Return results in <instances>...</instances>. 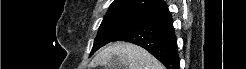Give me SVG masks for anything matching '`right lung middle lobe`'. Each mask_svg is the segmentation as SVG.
Masks as SVG:
<instances>
[{
  "instance_id": "dd1d6c3e",
  "label": "right lung middle lobe",
  "mask_w": 246,
  "mask_h": 69,
  "mask_svg": "<svg viewBox=\"0 0 246 69\" xmlns=\"http://www.w3.org/2000/svg\"><path fill=\"white\" fill-rule=\"evenodd\" d=\"M142 19L141 15H125L104 19L99 27L90 56L99 48L112 42L120 34L141 22Z\"/></svg>"
}]
</instances>
